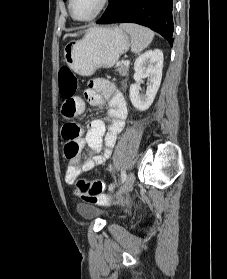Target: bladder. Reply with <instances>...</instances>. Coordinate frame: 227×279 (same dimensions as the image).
I'll use <instances>...</instances> for the list:
<instances>
[{"mask_svg":"<svg viewBox=\"0 0 227 279\" xmlns=\"http://www.w3.org/2000/svg\"><path fill=\"white\" fill-rule=\"evenodd\" d=\"M79 212L86 218H92L100 214V211L89 205H79Z\"/></svg>","mask_w":227,"mask_h":279,"instance_id":"bladder-1","label":"bladder"}]
</instances>
